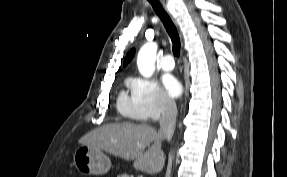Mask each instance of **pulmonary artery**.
I'll use <instances>...</instances> for the list:
<instances>
[{
    "label": "pulmonary artery",
    "instance_id": "1",
    "mask_svg": "<svg viewBox=\"0 0 287 177\" xmlns=\"http://www.w3.org/2000/svg\"><path fill=\"white\" fill-rule=\"evenodd\" d=\"M161 67L165 71H171L174 68L173 56L169 53L165 54L161 63Z\"/></svg>",
    "mask_w": 287,
    "mask_h": 177
}]
</instances>
